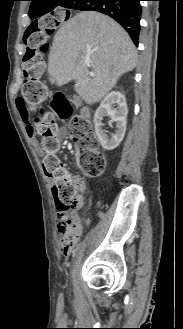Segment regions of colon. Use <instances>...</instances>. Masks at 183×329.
Returning <instances> with one entry per match:
<instances>
[{
	"instance_id": "colon-1",
	"label": "colon",
	"mask_w": 183,
	"mask_h": 329,
	"mask_svg": "<svg viewBox=\"0 0 183 329\" xmlns=\"http://www.w3.org/2000/svg\"><path fill=\"white\" fill-rule=\"evenodd\" d=\"M72 18V14L66 12L41 14L40 19H34L33 25H29L27 31H23L26 47L22 60L23 96H16L18 114L36 113L31 126L33 133L42 138L44 153L42 166L46 176L53 179L52 194L59 217L78 208V184L67 173L57 155L59 145L54 117L40 106L43 96L40 81L49 79L48 74H40V72L42 54L52 48L50 38H55V32H60V26H66V21H72ZM52 107L63 119H70V132L80 151L79 165L84 175L90 178L101 175L106 160L97 150L98 142L89 121L79 115L71 114L66 97L61 92L55 94ZM61 225L63 233L66 234V242L70 245L75 244L79 228L67 219L62 220Z\"/></svg>"
}]
</instances>
